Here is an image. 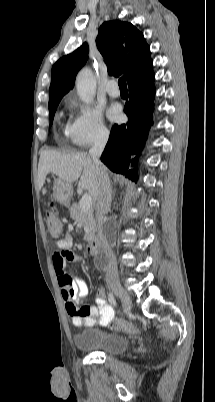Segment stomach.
Returning a JSON list of instances; mask_svg holds the SVG:
<instances>
[{
	"label": "stomach",
	"instance_id": "stomach-1",
	"mask_svg": "<svg viewBox=\"0 0 215 402\" xmlns=\"http://www.w3.org/2000/svg\"><path fill=\"white\" fill-rule=\"evenodd\" d=\"M73 188L70 183H66L61 179H55L53 184V198L68 207L70 203V198L72 196Z\"/></svg>",
	"mask_w": 215,
	"mask_h": 402
}]
</instances>
